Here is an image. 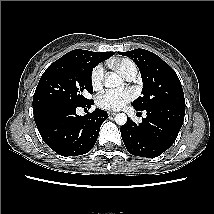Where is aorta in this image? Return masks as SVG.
Returning <instances> with one entry per match:
<instances>
[{"label": "aorta", "mask_w": 214, "mask_h": 214, "mask_svg": "<svg viewBox=\"0 0 214 214\" xmlns=\"http://www.w3.org/2000/svg\"><path fill=\"white\" fill-rule=\"evenodd\" d=\"M122 84H123L122 78L116 73H111L105 81V87L107 88L119 87ZM115 122L120 126L125 125L127 122V115L125 113L116 114Z\"/></svg>", "instance_id": "762f6f07"}]
</instances>
